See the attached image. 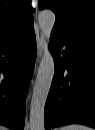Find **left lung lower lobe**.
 <instances>
[{
  "label": "left lung lower lobe",
  "mask_w": 95,
  "mask_h": 130,
  "mask_svg": "<svg viewBox=\"0 0 95 130\" xmlns=\"http://www.w3.org/2000/svg\"><path fill=\"white\" fill-rule=\"evenodd\" d=\"M50 48L55 73L45 104V128L72 123L95 127V46L52 34Z\"/></svg>",
  "instance_id": "1"
}]
</instances>
